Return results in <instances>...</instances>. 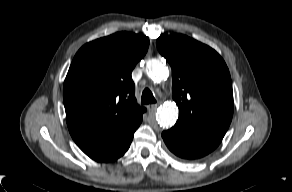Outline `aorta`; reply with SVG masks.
Wrapping results in <instances>:
<instances>
[{
  "instance_id": "aorta-1",
  "label": "aorta",
  "mask_w": 292,
  "mask_h": 192,
  "mask_svg": "<svg viewBox=\"0 0 292 192\" xmlns=\"http://www.w3.org/2000/svg\"><path fill=\"white\" fill-rule=\"evenodd\" d=\"M147 75L155 82L165 80L169 76L168 67L159 59H150L146 64ZM178 118V108L175 104L163 105L156 113V120L160 126L170 127Z\"/></svg>"
}]
</instances>
